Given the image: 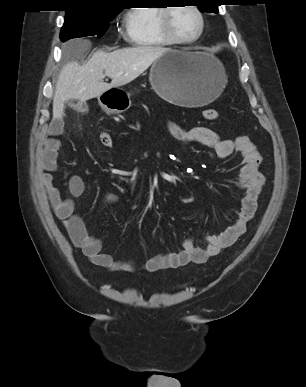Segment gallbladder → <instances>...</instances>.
Here are the masks:
<instances>
[{
  "instance_id": "bac80fb5",
  "label": "gallbladder",
  "mask_w": 306,
  "mask_h": 387,
  "mask_svg": "<svg viewBox=\"0 0 306 387\" xmlns=\"http://www.w3.org/2000/svg\"><path fill=\"white\" fill-rule=\"evenodd\" d=\"M68 105L69 106H71V107H73L74 105L71 103V102H68Z\"/></svg>"
}]
</instances>
